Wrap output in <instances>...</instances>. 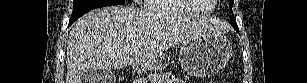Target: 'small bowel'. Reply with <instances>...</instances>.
Instances as JSON below:
<instances>
[{
    "mask_svg": "<svg viewBox=\"0 0 307 83\" xmlns=\"http://www.w3.org/2000/svg\"><path fill=\"white\" fill-rule=\"evenodd\" d=\"M176 78L169 73H162L160 74L159 79L156 81V83H176Z\"/></svg>",
    "mask_w": 307,
    "mask_h": 83,
    "instance_id": "c3829d8e",
    "label": "small bowel"
}]
</instances>
